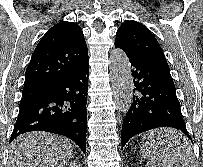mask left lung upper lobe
I'll list each match as a JSON object with an SVG mask.
<instances>
[{
    "mask_svg": "<svg viewBox=\"0 0 203 167\" xmlns=\"http://www.w3.org/2000/svg\"><path fill=\"white\" fill-rule=\"evenodd\" d=\"M115 44L152 64L169 69L165 55L151 31L136 21H125L116 33Z\"/></svg>",
    "mask_w": 203,
    "mask_h": 167,
    "instance_id": "1",
    "label": "left lung upper lobe"
}]
</instances>
